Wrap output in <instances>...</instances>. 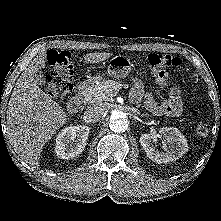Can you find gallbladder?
<instances>
[{"label": "gallbladder", "mask_w": 221, "mask_h": 221, "mask_svg": "<svg viewBox=\"0 0 221 221\" xmlns=\"http://www.w3.org/2000/svg\"><path fill=\"white\" fill-rule=\"evenodd\" d=\"M35 81L38 85H43V86L46 85V78L41 71L35 74Z\"/></svg>", "instance_id": "bac80fb5"}]
</instances>
